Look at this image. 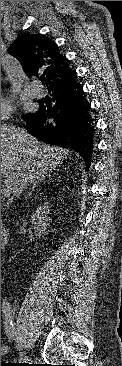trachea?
Here are the masks:
<instances>
[{
    "label": "trachea",
    "instance_id": "obj_1",
    "mask_svg": "<svg viewBox=\"0 0 122 366\" xmlns=\"http://www.w3.org/2000/svg\"><path fill=\"white\" fill-rule=\"evenodd\" d=\"M39 79H40L41 82L46 81V77L45 76H41Z\"/></svg>",
    "mask_w": 122,
    "mask_h": 366
}]
</instances>
